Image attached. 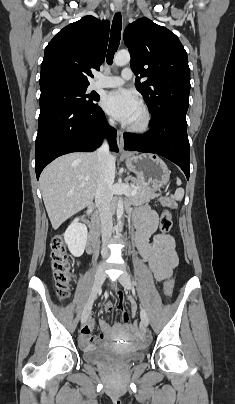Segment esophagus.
<instances>
[{
	"instance_id": "obj_1",
	"label": "esophagus",
	"mask_w": 235,
	"mask_h": 404,
	"mask_svg": "<svg viewBox=\"0 0 235 404\" xmlns=\"http://www.w3.org/2000/svg\"><path fill=\"white\" fill-rule=\"evenodd\" d=\"M121 9H122V4L121 3H115V10L120 11ZM117 145H118L119 151L121 153H125L123 132L121 130L117 131Z\"/></svg>"
}]
</instances>
